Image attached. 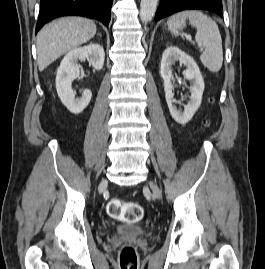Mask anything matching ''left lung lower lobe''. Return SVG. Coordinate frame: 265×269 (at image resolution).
<instances>
[{
	"label": "left lung lower lobe",
	"mask_w": 265,
	"mask_h": 269,
	"mask_svg": "<svg viewBox=\"0 0 265 269\" xmlns=\"http://www.w3.org/2000/svg\"><path fill=\"white\" fill-rule=\"evenodd\" d=\"M191 9H203L222 16L221 0H160L155 20L170 16L176 12Z\"/></svg>",
	"instance_id": "0a47b994"
}]
</instances>
